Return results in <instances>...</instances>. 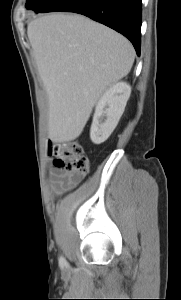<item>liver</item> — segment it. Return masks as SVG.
<instances>
[{
  "mask_svg": "<svg viewBox=\"0 0 181 300\" xmlns=\"http://www.w3.org/2000/svg\"><path fill=\"white\" fill-rule=\"evenodd\" d=\"M27 35L48 96V137L74 140L107 87L130 72L134 48L121 34L78 14L40 16Z\"/></svg>",
  "mask_w": 181,
  "mask_h": 300,
  "instance_id": "6515ba94",
  "label": "liver"
}]
</instances>
